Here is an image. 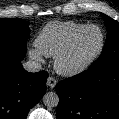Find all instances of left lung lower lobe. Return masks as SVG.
Segmentation results:
<instances>
[{"label":"left lung lower lobe","mask_w":119,"mask_h":119,"mask_svg":"<svg viewBox=\"0 0 119 119\" xmlns=\"http://www.w3.org/2000/svg\"><path fill=\"white\" fill-rule=\"evenodd\" d=\"M57 119H119V61L60 81Z\"/></svg>","instance_id":"left-lung-lower-lobe-1"}]
</instances>
